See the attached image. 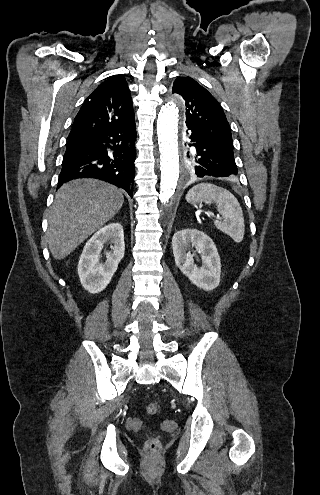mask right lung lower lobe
I'll return each mask as SVG.
<instances>
[{
	"instance_id": "98d812e1",
	"label": "right lung lower lobe",
	"mask_w": 320,
	"mask_h": 495,
	"mask_svg": "<svg viewBox=\"0 0 320 495\" xmlns=\"http://www.w3.org/2000/svg\"><path fill=\"white\" fill-rule=\"evenodd\" d=\"M135 122L106 131L69 139L58 187L77 178H96L123 188L131 197L135 176ZM108 150L114 151L108 155Z\"/></svg>"
}]
</instances>
